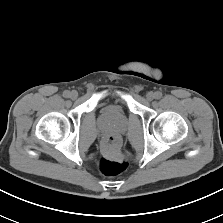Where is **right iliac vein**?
Wrapping results in <instances>:
<instances>
[{
	"mask_svg": "<svg viewBox=\"0 0 223 223\" xmlns=\"http://www.w3.org/2000/svg\"><path fill=\"white\" fill-rule=\"evenodd\" d=\"M70 97H71L72 99H76V98L78 97V93H77V91H72V92L70 93Z\"/></svg>",
	"mask_w": 223,
	"mask_h": 223,
	"instance_id": "63e3f726",
	"label": "right iliac vein"
}]
</instances>
